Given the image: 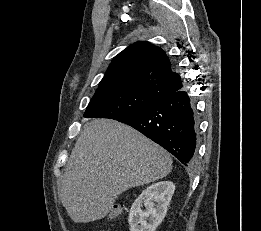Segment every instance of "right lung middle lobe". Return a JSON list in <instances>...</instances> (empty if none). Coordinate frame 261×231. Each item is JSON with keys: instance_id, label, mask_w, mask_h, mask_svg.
I'll list each match as a JSON object with an SVG mask.
<instances>
[{"instance_id": "dd1d6c3e", "label": "right lung middle lobe", "mask_w": 261, "mask_h": 231, "mask_svg": "<svg viewBox=\"0 0 261 231\" xmlns=\"http://www.w3.org/2000/svg\"><path fill=\"white\" fill-rule=\"evenodd\" d=\"M158 99L154 94L133 86L97 91L89 102L84 117L117 120L151 105Z\"/></svg>"}]
</instances>
